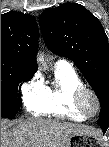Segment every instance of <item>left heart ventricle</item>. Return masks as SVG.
<instances>
[{"label": "left heart ventricle", "instance_id": "obj_1", "mask_svg": "<svg viewBox=\"0 0 109 147\" xmlns=\"http://www.w3.org/2000/svg\"><path fill=\"white\" fill-rule=\"evenodd\" d=\"M83 106L88 113L94 114L97 107L96 100L92 95L87 94L83 98Z\"/></svg>", "mask_w": 109, "mask_h": 147}]
</instances>
